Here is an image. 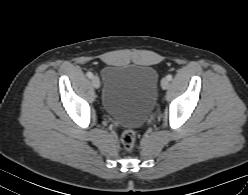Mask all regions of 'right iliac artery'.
Here are the masks:
<instances>
[{"mask_svg":"<svg viewBox=\"0 0 248 195\" xmlns=\"http://www.w3.org/2000/svg\"><path fill=\"white\" fill-rule=\"evenodd\" d=\"M87 77L88 78H92L93 77V74L91 72H87Z\"/></svg>","mask_w":248,"mask_h":195,"instance_id":"1","label":"right iliac artery"}]
</instances>
